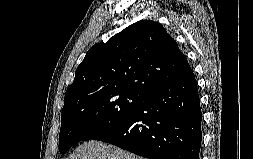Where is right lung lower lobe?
<instances>
[{
    "label": "right lung lower lobe",
    "instance_id": "98d812e1",
    "mask_svg": "<svg viewBox=\"0 0 253 159\" xmlns=\"http://www.w3.org/2000/svg\"><path fill=\"white\" fill-rule=\"evenodd\" d=\"M199 94L193 72L147 94L117 126L92 139L150 159H198L201 146Z\"/></svg>",
    "mask_w": 253,
    "mask_h": 159
}]
</instances>
